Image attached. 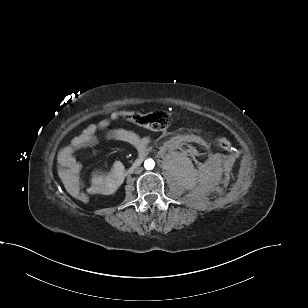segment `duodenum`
I'll return each instance as SVG.
<instances>
[{"label":"duodenum","instance_id":"410a0bca","mask_svg":"<svg viewBox=\"0 0 308 308\" xmlns=\"http://www.w3.org/2000/svg\"><path fill=\"white\" fill-rule=\"evenodd\" d=\"M140 159H137L134 163H133V165L127 170V172H126V175L127 174H130L132 171H133V169L134 168H136L137 166H139L140 165ZM125 174V173H124Z\"/></svg>","mask_w":308,"mask_h":308}]
</instances>
